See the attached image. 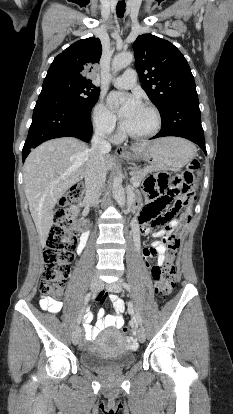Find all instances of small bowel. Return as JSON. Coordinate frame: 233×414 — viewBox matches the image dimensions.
<instances>
[{"label": "small bowel", "mask_w": 233, "mask_h": 414, "mask_svg": "<svg viewBox=\"0 0 233 414\" xmlns=\"http://www.w3.org/2000/svg\"><path fill=\"white\" fill-rule=\"evenodd\" d=\"M145 194L149 200V203L139 216L141 233L143 235H148L151 233L152 226L162 224L164 227L161 230L153 233L154 237L161 238L176 228L179 223L177 219H171V217L166 214L160 216L159 222L156 218L152 217L148 212V206L153 201V199L147 193ZM87 239L88 234L83 233L81 235L80 244L78 247L79 253L83 252ZM154 257L157 258V266L152 267L151 274L153 278L156 279V276L153 274V270L159 269L160 266L165 262L164 245L162 242H157L151 248H146L143 250V258L147 266L149 265V260ZM107 298L112 303L113 314H106L104 309H100L97 313V322L95 326L91 325L93 315L89 311L85 312L83 315V328L86 341H92L101 330L107 327L121 328L124 325L123 313L125 311V303L122 299L113 294L108 296L105 293L101 292L97 296V300L101 303H103ZM39 304L43 310L49 311L51 313H59L62 309V303L60 301L49 297H41ZM128 311L130 314H133L134 309L132 304L128 305Z\"/></svg>", "instance_id": "obj_1"}]
</instances>
